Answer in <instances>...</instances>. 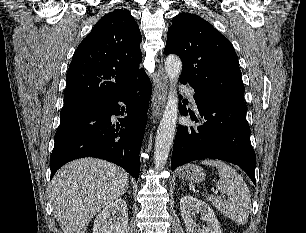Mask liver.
Returning <instances> with one entry per match:
<instances>
[{"instance_id": "1", "label": "liver", "mask_w": 306, "mask_h": 233, "mask_svg": "<svg viewBox=\"0 0 306 233\" xmlns=\"http://www.w3.org/2000/svg\"><path fill=\"white\" fill-rule=\"evenodd\" d=\"M129 186L122 168L96 158L74 160L51 182V201L63 233H85L102 208L122 196Z\"/></svg>"}]
</instances>
